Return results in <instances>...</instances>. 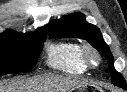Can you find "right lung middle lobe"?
Segmentation results:
<instances>
[{
    "mask_svg": "<svg viewBox=\"0 0 127 92\" xmlns=\"http://www.w3.org/2000/svg\"><path fill=\"white\" fill-rule=\"evenodd\" d=\"M46 34L37 32L23 38L0 37V76L21 73L33 68Z\"/></svg>",
    "mask_w": 127,
    "mask_h": 92,
    "instance_id": "1",
    "label": "right lung middle lobe"
}]
</instances>
